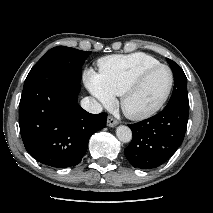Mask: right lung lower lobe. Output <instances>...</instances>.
I'll return each instance as SVG.
<instances>
[{"label":"right lung lower lobe","instance_id":"98d812e1","mask_svg":"<svg viewBox=\"0 0 213 213\" xmlns=\"http://www.w3.org/2000/svg\"><path fill=\"white\" fill-rule=\"evenodd\" d=\"M80 80L58 68L30 72L19 105V126L27 152L56 168L77 165L90 136L106 126V113L91 114L77 103Z\"/></svg>","mask_w":213,"mask_h":213}]
</instances>
